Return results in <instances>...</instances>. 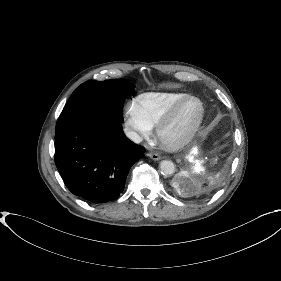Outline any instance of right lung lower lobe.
I'll return each instance as SVG.
<instances>
[{
  "mask_svg": "<svg viewBox=\"0 0 281 281\" xmlns=\"http://www.w3.org/2000/svg\"><path fill=\"white\" fill-rule=\"evenodd\" d=\"M144 151L125 137L121 123L73 124L55 136V164L65 185L92 203L116 199Z\"/></svg>",
  "mask_w": 281,
  "mask_h": 281,
  "instance_id": "98d812e1",
  "label": "right lung lower lobe"
}]
</instances>
